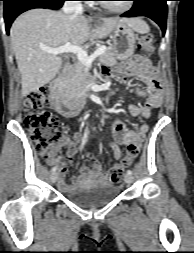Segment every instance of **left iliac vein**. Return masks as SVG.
Instances as JSON below:
<instances>
[{
    "label": "left iliac vein",
    "mask_w": 194,
    "mask_h": 253,
    "mask_svg": "<svg viewBox=\"0 0 194 253\" xmlns=\"http://www.w3.org/2000/svg\"><path fill=\"white\" fill-rule=\"evenodd\" d=\"M124 180L127 184H131L133 182V176L130 174H126Z\"/></svg>",
    "instance_id": "1"
}]
</instances>
